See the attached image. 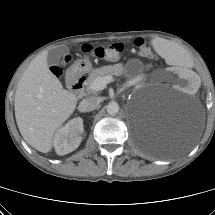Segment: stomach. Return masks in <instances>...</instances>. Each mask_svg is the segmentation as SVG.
Listing matches in <instances>:
<instances>
[{
	"label": "stomach",
	"mask_w": 215,
	"mask_h": 215,
	"mask_svg": "<svg viewBox=\"0 0 215 215\" xmlns=\"http://www.w3.org/2000/svg\"><path fill=\"white\" fill-rule=\"evenodd\" d=\"M73 68L79 73H87L92 70V64L88 58L78 59Z\"/></svg>",
	"instance_id": "obj_1"
}]
</instances>
